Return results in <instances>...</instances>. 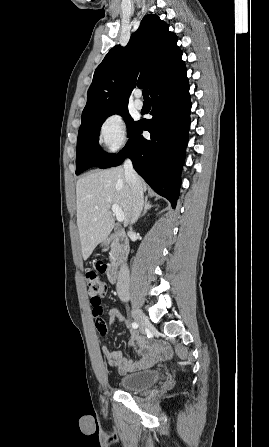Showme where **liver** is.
Wrapping results in <instances>:
<instances>
[{
	"instance_id": "1",
	"label": "liver",
	"mask_w": 269,
	"mask_h": 447,
	"mask_svg": "<svg viewBox=\"0 0 269 447\" xmlns=\"http://www.w3.org/2000/svg\"><path fill=\"white\" fill-rule=\"evenodd\" d=\"M143 192L147 184L141 180ZM77 225L83 259H88L98 243L105 241L114 227L113 204L124 212V227L132 216L133 198L124 168L93 170L76 184Z\"/></svg>"
}]
</instances>
